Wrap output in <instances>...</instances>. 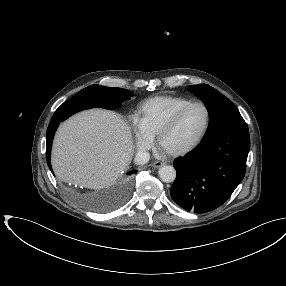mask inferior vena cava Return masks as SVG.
I'll use <instances>...</instances> for the list:
<instances>
[{
	"label": "inferior vena cava",
	"instance_id": "1",
	"mask_svg": "<svg viewBox=\"0 0 286 286\" xmlns=\"http://www.w3.org/2000/svg\"><path fill=\"white\" fill-rule=\"evenodd\" d=\"M150 159V154L146 151H138L135 155V163L138 165L146 164Z\"/></svg>",
	"mask_w": 286,
	"mask_h": 286
}]
</instances>
